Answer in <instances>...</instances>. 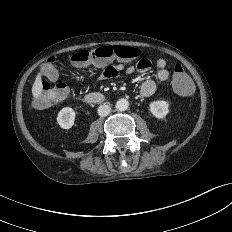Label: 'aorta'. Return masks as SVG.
Instances as JSON below:
<instances>
[{
    "instance_id": "1",
    "label": "aorta",
    "mask_w": 232,
    "mask_h": 232,
    "mask_svg": "<svg viewBox=\"0 0 232 232\" xmlns=\"http://www.w3.org/2000/svg\"><path fill=\"white\" fill-rule=\"evenodd\" d=\"M118 111H125L129 107V101L125 98L119 99L115 105Z\"/></svg>"
}]
</instances>
